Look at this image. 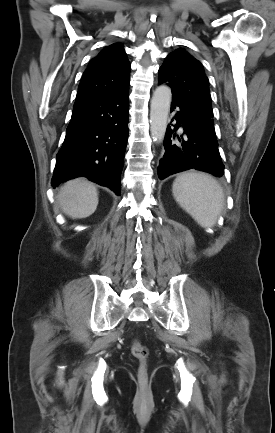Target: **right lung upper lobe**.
<instances>
[{"mask_svg": "<svg viewBox=\"0 0 275 433\" xmlns=\"http://www.w3.org/2000/svg\"><path fill=\"white\" fill-rule=\"evenodd\" d=\"M130 63L123 45L105 47L93 58L83 74L74 105L101 95L118 94L129 90Z\"/></svg>", "mask_w": 275, "mask_h": 433, "instance_id": "cb5924a9", "label": "right lung upper lobe"}]
</instances>
